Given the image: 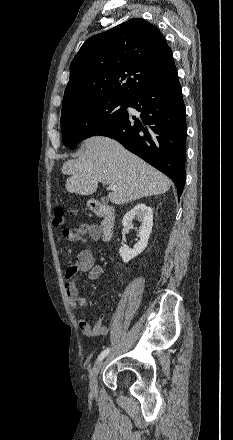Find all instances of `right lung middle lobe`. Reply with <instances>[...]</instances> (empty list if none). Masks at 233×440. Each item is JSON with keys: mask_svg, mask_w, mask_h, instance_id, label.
<instances>
[{"mask_svg": "<svg viewBox=\"0 0 233 440\" xmlns=\"http://www.w3.org/2000/svg\"><path fill=\"white\" fill-rule=\"evenodd\" d=\"M128 99L93 98L62 108L63 144L74 149L77 144L119 120L127 110Z\"/></svg>", "mask_w": 233, "mask_h": 440, "instance_id": "obj_1", "label": "right lung middle lobe"}]
</instances>
